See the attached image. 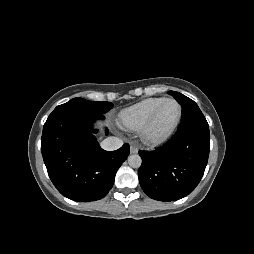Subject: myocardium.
Segmentation results:
<instances>
[{
    "instance_id": "f54148a6",
    "label": "myocardium",
    "mask_w": 254,
    "mask_h": 254,
    "mask_svg": "<svg viewBox=\"0 0 254 254\" xmlns=\"http://www.w3.org/2000/svg\"><path fill=\"white\" fill-rule=\"evenodd\" d=\"M166 102H175L178 105L179 108V112H178V116L177 119L175 121V123L173 124V126L164 134L160 135V136H153L151 135V128L156 120V117L161 109V107L166 103ZM182 105L180 104V102L175 99V98H164L157 106L156 108L152 111V113L150 114V116L148 117V119L144 122V124L142 125L141 129H140V135L143 139V141L148 144V145H152V146H157L160 145L162 143H164L165 141H167L176 131L180 121H181V117H182Z\"/></svg>"
}]
</instances>
